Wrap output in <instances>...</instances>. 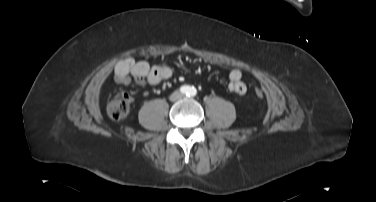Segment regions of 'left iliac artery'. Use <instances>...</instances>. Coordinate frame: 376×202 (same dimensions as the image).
<instances>
[{
	"label": "left iliac artery",
	"mask_w": 376,
	"mask_h": 202,
	"mask_svg": "<svg viewBox=\"0 0 376 202\" xmlns=\"http://www.w3.org/2000/svg\"><path fill=\"white\" fill-rule=\"evenodd\" d=\"M196 89L195 88H191L190 89V92H189V96H195L196 95Z\"/></svg>",
	"instance_id": "left-iliac-artery-1"
}]
</instances>
